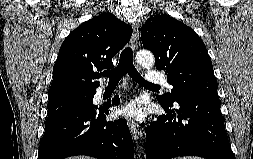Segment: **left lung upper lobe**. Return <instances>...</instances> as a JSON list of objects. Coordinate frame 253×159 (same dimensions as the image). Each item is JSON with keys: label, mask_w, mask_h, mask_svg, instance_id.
I'll return each instance as SVG.
<instances>
[{"label": "left lung upper lobe", "mask_w": 253, "mask_h": 159, "mask_svg": "<svg viewBox=\"0 0 253 159\" xmlns=\"http://www.w3.org/2000/svg\"><path fill=\"white\" fill-rule=\"evenodd\" d=\"M143 47L153 52L155 65L166 70L171 93L158 97L173 104L179 97L217 96V81L206 46L184 23L165 14L150 17L141 29Z\"/></svg>", "instance_id": "5c2ea615"}]
</instances>
